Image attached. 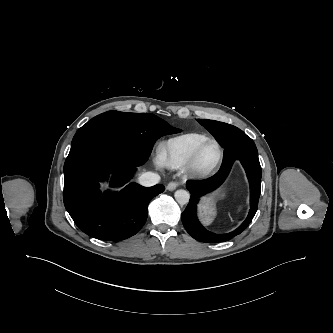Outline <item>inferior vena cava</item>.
Here are the masks:
<instances>
[{"instance_id": "inferior-vena-cava-1", "label": "inferior vena cava", "mask_w": 333, "mask_h": 333, "mask_svg": "<svg viewBox=\"0 0 333 333\" xmlns=\"http://www.w3.org/2000/svg\"><path fill=\"white\" fill-rule=\"evenodd\" d=\"M138 181L141 185H143L145 187H150V186H154L157 183H159L160 176L157 173L149 171V172L142 173L139 176Z\"/></svg>"}]
</instances>
